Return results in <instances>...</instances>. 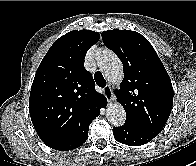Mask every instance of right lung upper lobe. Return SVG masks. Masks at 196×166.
<instances>
[{
    "label": "right lung upper lobe",
    "mask_w": 196,
    "mask_h": 166,
    "mask_svg": "<svg viewBox=\"0 0 196 166\" xmlns=\"http://www.w3.org/2000/svg\"><path fill=\"white\" fill-rule=\"evenodd\" d=\"M100 38L97 32L74 30L60 37L41 61L29 98L34 128L43 140L81 139L107 103L97 93L84 66L88 49Z\"/></svg>",
    "instance_id": "1"
}]
</instances>
